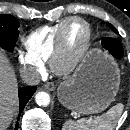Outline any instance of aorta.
<instances>
[{
	"mask_svg": "<svg viewBox=\"0 0 130 130\" xmlns=\"http://www.w3.org/2000/svg\"><path fill=\"white\" fill-rule=\"evenodd\" d=\"M35 101L39 106H48L50 103V96L47 92H38L35 96Z\"/></svg>",
	"mask_w": 130,
	"mask_h": 130,
	"instance_id": "1",
	"label": "aorta"
}]
</instances>
